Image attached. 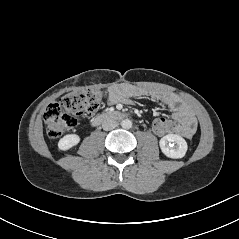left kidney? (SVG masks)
Returning <instances> with one entry per match:
<instances>
[{"label":"left kidney","mask_w":239,"mask_h":239,"mask_svg":"<svg viewBox=\"0 0 239 239\" xmlns=\"http://www.w3.org/2000/svg\"><path fill=\"white\" fill-rule=\"evenodd\" d=\"M161 151L169 158L178 159L185 156L187 142L184 138L176 134H168L159 141Z\"/></svg>","instance_id":"left-kidney-1"}]
</instances>
